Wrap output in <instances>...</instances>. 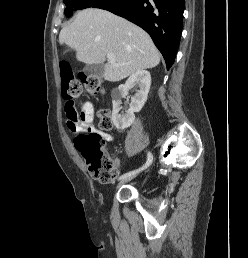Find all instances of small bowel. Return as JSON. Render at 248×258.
<instances>
[{"label": "small bowel", "instance_id": "1", "mask_svg": "<svg viewBox=\"0 0 248 258\" xmlns=\"http://www.w3.org/2000/svg\"><path fill=\"white\" fill-rule=\"evenodd\" d=\"M68 128L72 131H94L98 132L105 140L112 141L113 137L108 134L99 131L96 128L94 121V107L90 101H84L81 106L79 114L71 109L67 110Z\"/></svg>", "mask_w": 248, "mask_h": 258}]
</instances>
